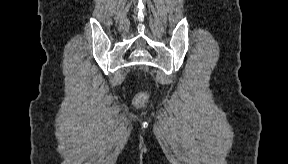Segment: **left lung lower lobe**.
Wrapping results in <instances>:
<instances>
[{"label": "left lung lower lobe", "instance_id": "1", "mask_svg": "<svg viewBox=\"0 0 288 164\" xmlns=\"http://www.w3.org/2000/svg\"><path fill=\"white\" fill-rule=\"evenodd\" d=\"M247 80H248V84L250 85V91L247 92V96L252 99V100H256L257 98H259L260 96V89L264 88L265 84H266V77L262 72H254V73H249L247 75ZM253 81H258L259 82V86L257 89H252L251 88V83Z\"/></svg>", "mask_w": 288, "mask_h": 164}]
</instances>
